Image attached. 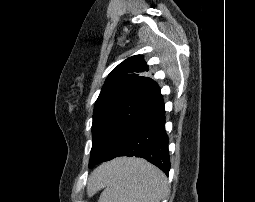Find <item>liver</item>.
Instances as JSON below:
<instances>
[{
    "label": "liver",
    "instance_id": "obj_1",
    "mask_svg": "<svg viewBox=\"0 0 255 202\" xmlns=\"http://www.w3.org/2000/svg\"><path fill=\"white\" fill-rule=\"evenodd\" d=\"M105 166H106V164L103 165V166H101L98 170H96V171L92 174V176H91V182L95 179V176H96L97 172H98L100 169L104 168Z\"/></svg>",
    "mask_w": 255,
    "mask_h": 202
}]
</instances>
